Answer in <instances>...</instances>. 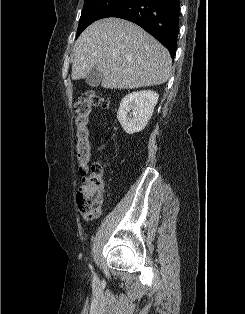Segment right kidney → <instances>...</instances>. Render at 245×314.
<instances>
[{"label": "right kidney", "mask_w": 245, "mask_h": 314, "mask_svg": "<svg viewBox=\"0 0 245 314\" xmlns=\"http://www.w3.org/2000/svg\"><path fill=\"white\" fill-rule=\"evenodd\" d=\"M158 98V93L143 90L130 93L121 100L117 118L127 134H134L145 128Z\"/></svg>", "instance_id": "1"}]
</instances>
